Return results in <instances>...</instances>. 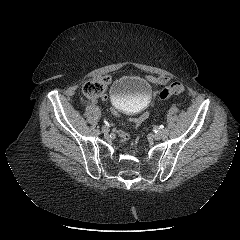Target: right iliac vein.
<instances>
[{
	"label": "right iliac vein",
	"mask_w": 240,
	"mask_h": 240,
	"mask_svg": "<svg viewBox=\"0 0 240 240\" xmlns=\"http://www.w3.org/2000/svg\"><path fill=\"white\" fill-rule=\"evenodd\" d=\"M102 132H103L104 134H108V133H109V128H108L107 126H103V127H102Z\"/></svg>",
	"instance_id": "right-iliac-vein-1"
}]
</instances>
